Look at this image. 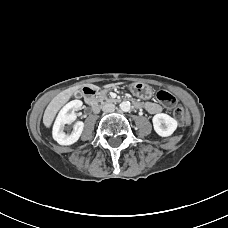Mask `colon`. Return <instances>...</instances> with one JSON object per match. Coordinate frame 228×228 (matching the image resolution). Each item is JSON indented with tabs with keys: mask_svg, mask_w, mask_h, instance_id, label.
<instances>
[{
	"mask_svg": "<svg viewBox=\"0 0 228 228\" xmlns=\"http://www.w3.org/2000/svg\"><path fill=\"white\" fill-rule=\"evenodd\" d=\"M157 99L168 107H174L177 103L176 98L169 92L161 90L156 94ZM174 116L180 123H184L188 118V113L182 107H176L174 110Z\"/></svg>",
	"mask_w": 228,
	"mask_h": 228,
	"instance_id": "colon-1",
	"label": "colon"
}]
</instances>
